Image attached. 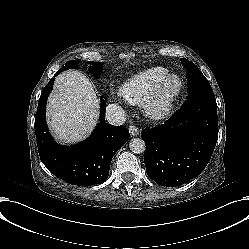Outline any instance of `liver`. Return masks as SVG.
Listing matches in <instances>:
<instances>
[{
    "label": "liver",
    "mask_w": 249,
    "mask_h": 249,
    "mask_svg": "<svg viewBox=\"0 0 249 249\" xmlns=\"http://www.w3.org/2000/svg\"><path fill=\"white\" fill-rule=\"evenodd\" d=\"M99 114V99L86 76L67 71L56 78L48 99L47 119L59 142L84 140L98 123Z\"/></svg>",
    "instance_id": "obj_1"
}]
</instances>
